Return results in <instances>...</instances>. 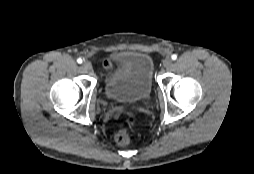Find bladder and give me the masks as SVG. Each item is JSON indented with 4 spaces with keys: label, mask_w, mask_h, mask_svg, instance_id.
Wrapping results in <instances>:
<instances>
[{
    "label": "bladder",
    "mask_w": 254,
    "mask_h": 174,
    "mask_svg": "<svg viewBox=\"0 0 254 174\" xmlns=\"http://www.w3.org/2000/svg\"><path fill=\"white\" fill-rule=\"evenodd\" d=\"M118 64V68L106 76L107 96L122 102L148 98L153 87L151 57L143 52H128L118 57Z\"/></svg>",
    "instance_id": "obj_1"
}]
</instances>
